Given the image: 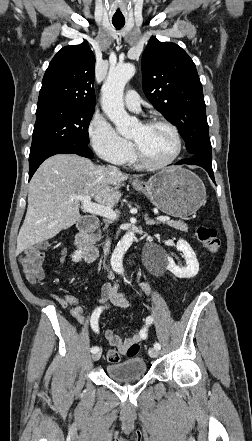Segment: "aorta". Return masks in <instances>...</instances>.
Instances as JSON below:
<instances>
[{
	"label": "aorta",
	"instance_id": "aorta-1",
	"mask_svg": "<svg viewBox=\"0 0 252 441\" xmlns=\"http://www.w3.org/2000/svg\"><path fill=\"white\" fill-rule=\"evenodd\" d=\"M135 66L125 63L109 70L108 77L102 86V109L115 124L117 131L124 137L131 135L137 125L136 118L130 117L124 108L123 91L126 83L134 76ZM135 238L134 232H127L118 242L111 257L112 269L123 274V257Z\"/></svg>",
	"mask_w": 252,
	"mask_h": 441
}]
</instances>
